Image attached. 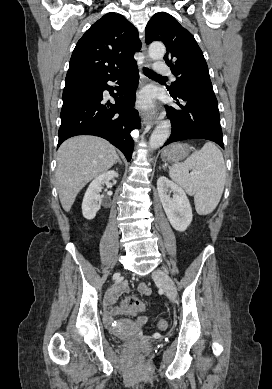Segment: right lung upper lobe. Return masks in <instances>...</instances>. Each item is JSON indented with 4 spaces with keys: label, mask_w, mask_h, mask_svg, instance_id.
<instances>
[{
    "label": "right lung upper lobe",
    "mask_w": 272,
    "mask_h": 389,
    "mask_svg": "<svg viewBox=\"0 0 272 389\" xmlns=\"http://www.w3.org/2000/svg\"><path fill=\"white\" fill-rule=\"evenodd\" d=\"M141 49L137 29L122 15L107 13L78 41L65 85L93 82L135 64L133 54Z\"/></svg>",
    "instance_id": "right-lung-upper-lobe-1"
}]
</instances>
